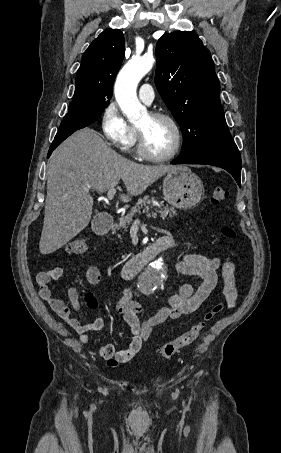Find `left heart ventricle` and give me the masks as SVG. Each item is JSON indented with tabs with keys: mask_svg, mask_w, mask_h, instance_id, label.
Returning a JSON list of instances; mask_svg holds the SVG:
<instances>
[{
	"mask_svg": "<svg viewBox=\"0 0 281 453\" xmlns=\"http://www.w3.org/2000/svg\"><path fill=\"white\" fill-rule=\"evenodd\" d=\"M145 135L146 146L154 154L165 155L175 140L174 131L165 121H152L148 114L138 125Z\"/></svg>",
	"mask_w": 281,
	"mask_h": 453,
	"instance_id": "1",
	"label": "left heart ventricle"
}]
</instances>
